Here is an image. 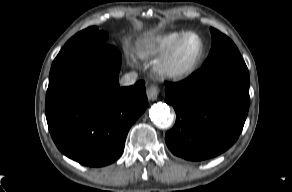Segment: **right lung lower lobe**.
<instances>
[{
	"label": "right lung lower lobe",
	"instance_id": "right-lung-lower-lobe-1",
	"mask_svg": "<svg viewBox=\"0 0 292 192\" xmlns=\"http://www.w3.org/2000/svg\"><path fill=\"white\" fill-rule=\"evenodd\" d=\"M121 54L112 45L62 48L46 93V118L58 149L100 167L122 154L127 133L148 106L142 80L119 87Z\"/></svg>",
	"mask_w": 292,
	"mask_h": 192
}]
</instances>
